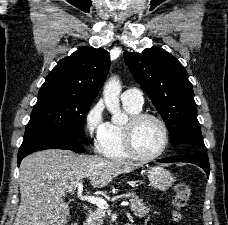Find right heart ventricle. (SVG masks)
<instances>
[{"label":"right heart ventricle","mask_w":228,"mask_h":225,"mask_svg":"<svg viewBox=\"0 0 228 225\" xmlns=\"http://www.w3.org/2000/svg\"><path fill=\"white\" fill-rule=\"evenodd\" d=\"M124 110L130 116L140 113L141 108H136L130 105H124ZM124 126L125 124H119L111 122L109 129L105 137L100 141L97 149L98 151L108 158H130L131 153L128 151L125 139H124Z\"/></svg>","instance_id":"e07e8e85"}]
</instances>
